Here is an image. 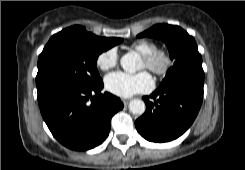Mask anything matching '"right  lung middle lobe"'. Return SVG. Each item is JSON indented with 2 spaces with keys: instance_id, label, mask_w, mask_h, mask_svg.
<instances>
[{
  "instance_id": "right-lung-middle-lobe-1",
  "label": "right lung middle lobe",
  "mask_w": 245,
  "mask_h": 170,
  "mask_svg": "<svg viewBox=\"0 0 245 170\" xmlns=\"http://www.w3.org/2000/svg\"><path fill=\"white\" fill-rule=\"evenodd\" d=\"M122 41L120 38L119 42ZM113 46L73 32L53 35L38 58V99L60 90L90 88L101 82L97 58Z\"/></svg>"
}]
</instances>
